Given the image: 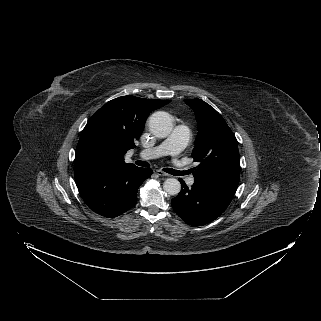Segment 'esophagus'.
Returning <instances> with one entry per match:
<instances>
[{
	"mask_svg": "<svg viewBox=\"0 0 321 321\" xmlns=\"http://www.w3.org/2000/svg\"><path fill=\"white\" fill-rule=\"evenodd\" d=\"M153 172L158 176H168L167 173H165V172H163L162 170H159V169H154Z\"/></svg>",
	"mask_w": 321,
	"mask_h": 321,
	"instance_id": "1",
	"label": "esophagus"
}]
</instances>
